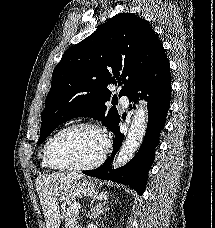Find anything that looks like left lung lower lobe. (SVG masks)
<instances>
[{
  "mask_svg": "<svg viewBox=\"0 0 215 228\" xmlns=\"http://www.w3.org/2000/svg\"><path fill=\"white\" fill-rule=\"evenodd\" d=\"M171 95V76L169 61L162 48L146 75L138 82L128 95L134 105L139 99L148 102V124L143 143L135 155L125 166L110 169V164L119 150L124 134L117 125L114 134L113 152L102 166L94 170L83 171L84 174L102 180L109 179L132 187L142 195L149 169L154 161V150L158 146L161 130L165 126Z\"/></svg>",
  "mask_w": 215,
  "mask_h": 228,
  "instance_id": "left-lung-lower-lobe-1",
  "label": "left lung lower lobe"
}]
</instances>
